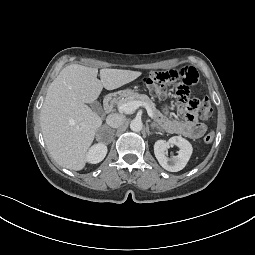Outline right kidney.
Returning <instances> with one entry per match:
<instances>
[{"instance_id": "right-kidney-1", "label": "right kidney", "mask_w": 255, "mask_h": 255, "mask_svg": "<svg viewBox=\"0 0 255 255\" xmlns=\"http://www.w3.org/2000/svg\"><path fill=\"white\" fill-rule=\"evenodd\" d=\"M107 154V146L104 143L93 145L87 153L86 160L89 163L96 164L101 162Z\"/></svg>"}]
</instances>
